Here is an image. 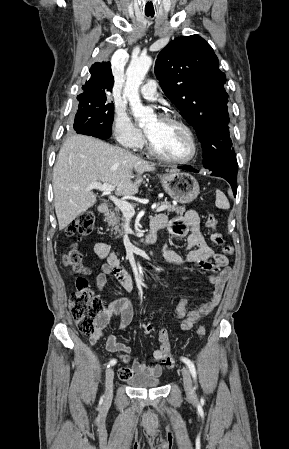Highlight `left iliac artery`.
I'll return each instance as SVG.
<instances>
[{
  "label": "left iliac artery",
  "mask_w": 289,
  "mask_h": 449,
  "mask_svg": "<svg viewBox=\"0 0 289 449\" xmlns=\"http://www.w3.org/2000/svg\"><path fill=\"white\" fill-rule=\"evenodd\" d=\"M181 360L187 365V367L189 368L190 373H191L193 379L196 381V376L197 375H196V369H195L194 363L190 359H188L186 357H181Z\"/></svg>",
  "instance_id": "obj_1"
}]
</instances>
